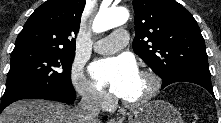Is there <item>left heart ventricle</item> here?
<instances>
[{"mask_svg": "<svg viewBox=\"0 0 221 123\" xmlns=\"http://www.w3.org/2000/svg\"><path fill=\"white\" fill-rule=\"evenodd\" d=\"M149 88V79L138 73L121 98L132 102L137 101L147 94Z\"/></svg>", "mask_w": 221, "mask_h": 123, "instance_id": "left-heart-ventricle-1", "label": "left heart ventricle"}]
</instances>
